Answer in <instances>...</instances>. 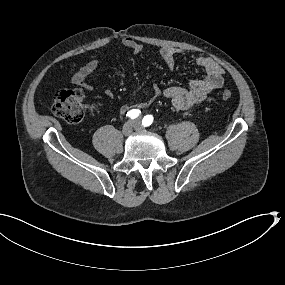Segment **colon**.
Instances as JSON below:
<instances>
[{
	"mask_svg": "<svg viewBox=\"0 0 285 285\" xmlns=\"http://www.w3.org/2000/svg\"><path fill=\"white\" fill-rule=\"evenodd\" d=\"M231 97L232 93L229 90H224L221 94L223 100H229ZM95 110H97L96 106L83 103V97L77 90H62L55 95L53 112L68 123H79L87 111Z\"/></svg>",
	"mask_w": 285,
	"mask_h": 285,
	"instance_id": "obj_1",
	"label": "colon"
}]
</instances>
